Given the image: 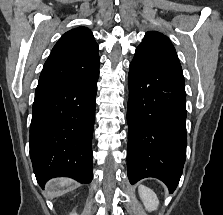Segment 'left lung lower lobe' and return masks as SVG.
I'll list each match as a JSON object with an SVG mask.
<instances>
[{
	"mask_svg": "<svg viewBox=\"0 0 223 215\" xmlns=\"http://www.w3.org/2000/svg\"><path fill=\"white\" fill-rule=\"evenodd\" d=\"M127 106V172L131 184L162 180L176 189L186 157V93L183 81L130 64Z\"/></svg>",
	"mask_w": 223,
	"mask_h": 215,
	"instance_id": "obj_1",
	"label": "left lung lower lobe"
}]
</instances>
